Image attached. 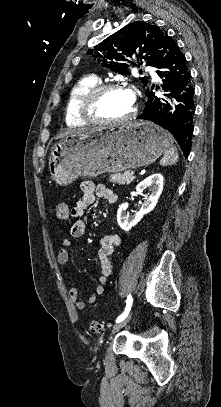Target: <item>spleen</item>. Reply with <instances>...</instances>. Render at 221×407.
Here are the masks:
<instances>
[{"label": "spleen", "mask_w": 221, "mask_h": 407, "mask_svg": "<svg viewBox=\"0 0 221 407\" xmlns=\"http://www.w3.org/2000/svg\"><path fill=\"white\" fill-rule=\"evenodd\" d=\"M179 159V154L176 147L171 144L169 149L165 152L163 158L160 160V165L167 166L175 164Z\"/></svg>", "instance_id": "1"}]
</instances>
